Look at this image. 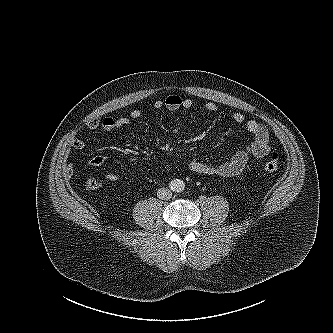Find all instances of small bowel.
<instances>
[{"mask_svg":"<svg viewBox=\"0 0 333 333\" xmlns=\"http://www.w3.org/2000/svg\"><path fill=\"white\" fill-rule=\"evenodd\" d=\"M153 107L157 110L166 108L171 112L181 109L189 110L193 107V101L173 94L163 100H156ZM205 109L208 112L215 113L218 110V106L213 102H208L205 104ZM141 115L142 113L139 109H134L128 116L124 117H95L87 123V129L90 133L96 131H114L120 127L129 125L132 121L139 119ZM231 117L237 124L244 125L248 133L252 135L253 141L234 152L228 160L220 163L211 164L200 158H193L189 163V168L192 172L206 176H236L243 171L250 158H263L269 154V132L265 124L254 119H246L244 114L239 111L233 112ZM85 146L86 142L81 138H74L71 141V147L76 150H81ZM104 163V158L100 156H94L90 160V164L94 167H101ZM73 171L74 166L72 164L69 163L64 166V172L67 175H72ZM106 179L108 181H116L117 175L110 172L106 175Z\"/></svg>","mask_w":333,"mask_h":333,"instance_id":"1","label":"small bowel"}]
</instances>
